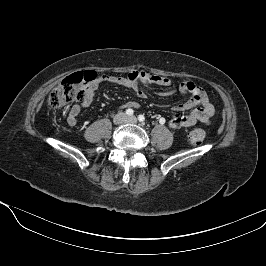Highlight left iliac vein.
I'll return each instance as SVG.
<instances>
[{
	"label": "left iliac vein",
	"instance_id": "obj_1",
	"mask_svg": "<svg viewBox=\"0 0 266 266\" xmlns=\"http://www.w3.org/2000/svg\"><path fill=\"white\" fill-rule=\"evenodd\" d=\"M129 122L131 123H136L137 122V118L135 116H131V117H128L127 119Z\"/></svg>",
	"mask_w": 266,
	"mask_h": 266
}]
</instances>
